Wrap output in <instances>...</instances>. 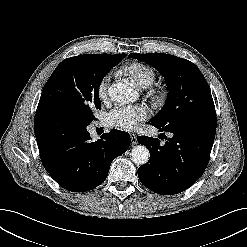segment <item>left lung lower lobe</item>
<instances>
[{
    "label": "left lung lower lobe",
    "mask_w": 247,
    "mask_h": 247,
    "mask_svg": "<svg viewBox=\"0 0 247 247\" xmlns=\"http://www.w3.org/2000/svg\"><path fill=\"white\" fill-rule=\"evenodd\" d=\"M160 132L168 131L173 137L165 144L157 138L139 136L138 142L150 152L146 165L138 169L141 183L162 195L180 193L192 186L204 173L209 162L216 127L183 125L164 129L153 124Z\"/></svg>",
    "instance_id": "0a47b994"
}]
</instances>
